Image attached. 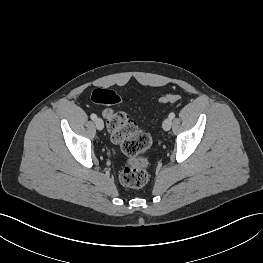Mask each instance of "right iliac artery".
Masks as SVG:
<instances>
[{
    "mask_svg": "<svg viewBox=\"0 0 263 263\" xmlns=\"http://www.w3.org/2000/svg\"><path fill=\"white\" fill-rule=\"evenodd\" d=\"M90 117L92 120H95L97 118L96 114H91Z\"/></svg>",
    "mask_w": 263,
    "mask_h": 263,
    "instance_id": "right-iliac-artery-1",
    "label": "right iliac artery"
}]
</instances>
